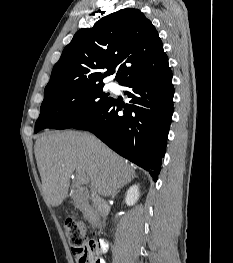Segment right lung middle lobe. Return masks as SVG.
Masks as SVG:
<instances>
[{"instance_id": "dd1d6c3e", "label": "right lung middle lobe", "mask_w": 233, "mask_h": 263, "mask_svg": "<svg viewBox=\"0 0 233 263\" xmlns=\"http://www.w3.org/2000/svg\"><path fill=\"white\" fill-rule=\"evenodd\" d=\"M103 86L89 85L44 98L35 133L45 128H71L92 116L112 100L102 93Z\"/></svg>"}]
</instances>
